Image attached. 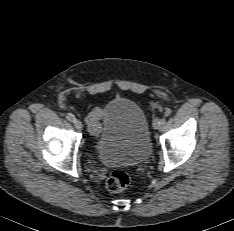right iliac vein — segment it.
I'll return each instance as SVG.
<instances>
[{
  "label": "right iliac vein",
  "instance_id": "obj_1",
  "mask_svg": "<svg viewBox=\"0 0 234 231\" xmlns=\"http://www.w3.org/2000/svg\"><path fill=\"white\" fill-rule=\"evenodd\" d=\"M73 123H74V126L76 127V129H77V130H79V131H81V130H82L83 125H82V123H81V121H80V120L75 119V120L73 121Z\"/></svg>",
  "mask_w": 234,
  "mask_h": 231
}]
</instances>
